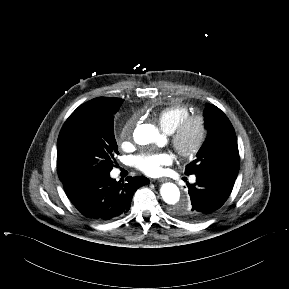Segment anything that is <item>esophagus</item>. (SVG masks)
<instances>
[{"label": "esophagus", "mask_w": 289, "mask_h": 289, "mask_svg": "<svg viewBox=\"0 0 289 289\" xmlns=\"http://www.w3.org/2000/svg\"><path fill=\"white\" fill-rule=\"evenodd\" d=\"M166 180H167L166 178H159V179H156V180H153V181L164 182Z\"/></svg>", "instance_id": "34e87169"}]
</instances>
